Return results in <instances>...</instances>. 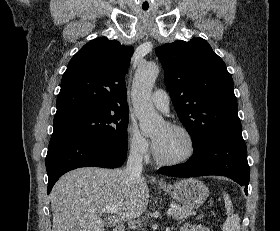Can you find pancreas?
<instances>
[{
  "label": "pancreas",
  "instance_id": "cf45deb5",
  "mask_svg": "<svg viewBox=\"0 0 280 231\" xmlns=\"http://www.w3.org/2000/svg\"><path fill=\"white\" fill-rule=\"evenodd\" d=\"M170 207L171 209H175L173 215L174 217H176V219H184V217H188V215H195L196 213V211H193L191 207H185V205H180V203H174V201H172ZM201 217H203V213L202 215H199L197 219H201Z\"/></svg>",
  "mask_w": 280,
  "mask_h": 231
}]
</instances>
